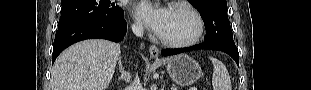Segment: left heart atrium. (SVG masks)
<instances>
[{
  "mask_svg": "<svg viewBox=\"0 0 311 90\" xmlns=\"http://www.w3.org/2000/svg\"><path fill=\"white\" fill-rule=\"evenodd\" d=\"M136 14L147 28L161 35L167 25L170 10L149 1H141L136 6Z\"/></svg>",
  "mask_w": 311,
  "mask_h": 90,
  "instance_id": "left-heart-atrium-1",
  "label": "left heart atrium"
}]
</instances>
